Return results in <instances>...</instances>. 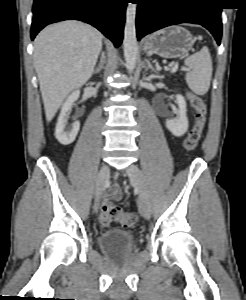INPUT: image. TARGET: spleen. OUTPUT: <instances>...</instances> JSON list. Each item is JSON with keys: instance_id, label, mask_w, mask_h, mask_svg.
<instances>
[{"instance_id": "spleen-1", "label": "spleen", "mask_w": 246, "mask_h": 300, "mask_svg": "<svg viewBox=\"0 0 246 300\" xmlns=\"http://www.w3.org/2000/svg\"><path fill=\"white\" fill-rule=\"evenodd\" d=\"M185 65L191 70L185 76L189 88L197 95L206 94L212 78V59L208 48L203 47L199 52L188 56Z\"/></svg>"}]
</instances>
